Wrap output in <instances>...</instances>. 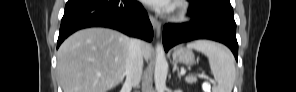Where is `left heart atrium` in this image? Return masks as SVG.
Instances as JSON below:
<instances>
[{"mask_svg": "<svg viewBox=\"0 0 296 92\" xmlns=\"http://www.w3.org/2000/svg\"><path fill=\"white\" fill-rule=\"evenodd\" d=\"M147 3L162 11H169L172 8L171 3L165 0H150Z\"/></svg>", "mask_w": 296, "mask_h": 92, "instance_id": "1", "label": "left heart atrium"}]
</instances>
